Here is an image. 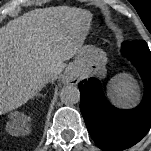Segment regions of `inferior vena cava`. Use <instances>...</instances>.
I'll return each instance as SVG.
<instances>
[{
    "instance_id": "obj_1",
    "label": "inferior vena cava",
    "mask_w": 151,
    "mask_h": 151,
    "mask_svg": "<svg viewBox=\"0 0 151 151\" xmlns=\"http://www.w3.org/2000/svg\"><path fill=\"white\" fill-rule=\"evenodd\" d=\"M58 74H60V72L58 70H54L53 75L56 76Z\"/></svg>"
}]
</instances>
